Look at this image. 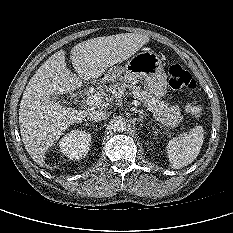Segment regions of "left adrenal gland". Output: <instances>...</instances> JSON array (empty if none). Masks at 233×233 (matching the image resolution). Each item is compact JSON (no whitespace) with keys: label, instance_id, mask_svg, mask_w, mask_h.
<instances>
[{"label":"left adrenal gland","instance_id":"obj_1","mask_svg":"<svg viewBox=\"0 0 233 233\" xmlns=\"http://www.w3.org/2000/svg\"><path fill=\"white\" fill-rule=\"evenodd\" d=\"M131 110H132L134 113H139V120H140V121H143L144 116H146V114L144 113L143 110H138V109H136L135 107L131 108Z\"/></svg>","mask_w":233,"mask_h":233}]
</instances>
